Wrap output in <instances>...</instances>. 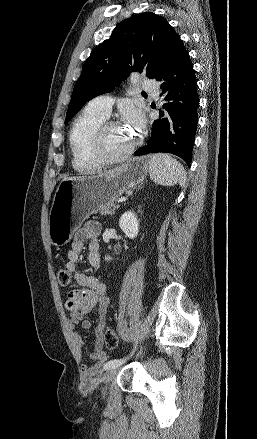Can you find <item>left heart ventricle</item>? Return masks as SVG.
I'll return each instance as SVG.
<instances>
[{"instance_id": "obj_1", "label": "left heart ventricle", "mask_w": 257, "mask_h": 439, "mask_svg": "<svg viewBox=\"0 0 257 439\" xmlns=\"http://www.w3.org/2000/svg\"><path fill=\"white\" fill-rule=\"evenodd\" d=\"M135 140L132 132L119 124L111 126L105 131L104 147L109 155H115L130 146Z\"/></svg>"}]
</instances>
